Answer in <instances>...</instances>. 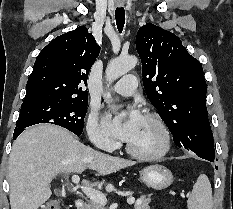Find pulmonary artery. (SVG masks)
<instances>
[{
	"label": "pulmonary artery",
	"mask_w": 233,
	"mask_h": 209,
	"mask_svg": "<svg viewBox=\"0 0 233 209\" xmlns=\"http://www.w3.org/2000/svg\"><path fill=\"white\" fill-rule=\"evenodd\" d=\"M137 88V78L134 75H126L119 79L112 87V91L118 95L130 96Z\"/></svg>",
	"instance_id": "pulmonary-artery-1"
}]
</instances>
